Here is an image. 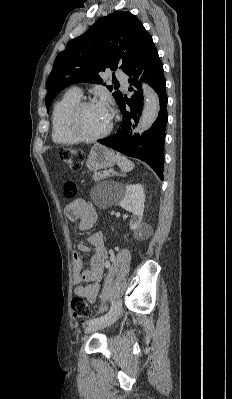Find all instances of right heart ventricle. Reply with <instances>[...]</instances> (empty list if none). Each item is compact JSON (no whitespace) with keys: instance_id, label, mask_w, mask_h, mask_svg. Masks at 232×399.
Here are the masks:
<instances>
[{"instance_id":"right-heart-ventricle-1","label":"right heart ventricle","mask_w":232,"mask_h":399,"mask_svg":"<svg viewBox=\"0 0 232 399\" xmlns=\"http://www.w3.org/2000/svg\"><path fill=\"white\" fill-rule=\"evenodd\" d=\"M80 101V97L66 94L56 102L51 115V136L54 143L61 146H73L78 143L67 130V117L71 109Z\"/></svg>"}]
</instances>
